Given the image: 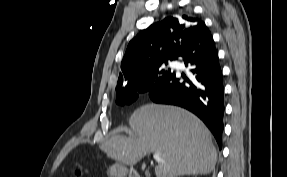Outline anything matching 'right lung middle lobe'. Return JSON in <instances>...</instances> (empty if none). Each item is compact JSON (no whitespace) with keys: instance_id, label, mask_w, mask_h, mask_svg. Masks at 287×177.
Returning a JSON list of instances; mask_svg holds the SVG:
<instances>
[{"instance_id":"right-lung-middle-lobe-1","label":"right lung middle lobe","mask_w":287,"mask_h":177,"mask_svg":"<svg viewBox=\"0 0 287 177\" xmlns=\"http://www.w3.org/2000/svg\"><path fill=\"white\" fill-rule=\"evenodd\" d=\"M168 61H164L155 65L140 82L132 85L119 86L116 88L118 105L130 104L138 98L139 93L147 92L156 84L168 78L172 72L170 69H164Z\"/></svg>"}]
</instances>
